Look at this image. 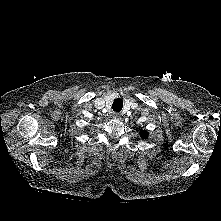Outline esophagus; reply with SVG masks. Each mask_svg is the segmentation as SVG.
<instances>
[{
    "label": "esophagus",
    "mask_w": 221,
    "mask_h": 221,
    "mask_svg": "<svg viewBox=\"0 0 221 221\" xmlns=\"http://www.w3.org/2000/svg\"><path fill=\"white\" fill-rule=\"evenodd\" d=\"M120 117H121V115H120L119 113H114V114L112 115V118H113V119H116V120L120 119Z\"/></svg>",
    "instance_id": "obj_1"
}]
</instances>
